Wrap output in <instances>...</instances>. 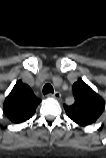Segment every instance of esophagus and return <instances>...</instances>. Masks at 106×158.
I'll list each match as a JSON object with an SVG mask.
<instances>
[{
    "instance_id": "obj_1",
    "label": "esophagus",
    "mask_w": 106,
    "mask_h": 158,
    "mask_svg": "<svg viewBox=\"0 0 106 158\" xmlns=\"http://www.w3.org/2000/svg\"><path fill=\"white\" fill-rule=\"evenodd\" d=\"M48 97H53L56 100H59L61 98V93L59 91H55L54 93L48 94Z\"/></svg>"
}]
</instances>
